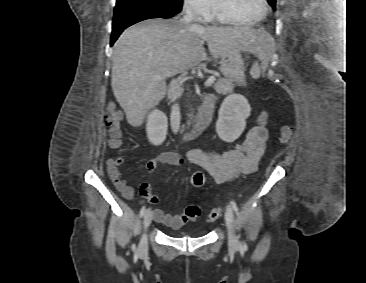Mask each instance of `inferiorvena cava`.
<instances>
[{
  "mask_svg": "<svg viewBox=\"0 0 366 283\" xmlns=\"http://www.w3.org/2000/svg\"><path fill=\"white\" fill-rule=\"evenodd\" d=\"M192 19H193V13L191 12V9L187 7L182 21L186 24H190L192 22ZM180 121H181V115L179 105L174 104L172 106L171 118H170L171 128L174 133H177L179 131Z\"/></svg>",
  "mask_w": 366,
  "mask_h": 283,
  "instance_id": "602c4592",
  "label": "inferior vena cava"
}]
</instances>
